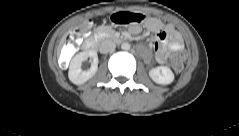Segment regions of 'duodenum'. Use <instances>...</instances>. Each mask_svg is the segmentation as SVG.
<instances>
[{"label":"duodenum","mask_w":239,"mask_h":136,"mask_svg":"<svg viewBox=\"0 0 239 136\" xmlns=\"http://www.w3.org/2000/svg\"><path fill=\"white\" fill-rule=\"evenodd\" d=\"M116 41H117L118 43H123V42H125V39H124V38H121V37H117V38H116ZM96 45H97L96 39H93V38H92V39L86 40V41L82 44V48H83L84 50H86V51H93V50H95Z\"/></svg>","instance_id":"410a0bca"}]
</instances>
